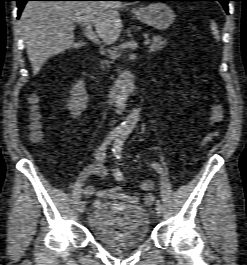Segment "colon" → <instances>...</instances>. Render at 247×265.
<instances>
[{"mask_svg":"<svg viewBox=\"0 0 247 265\" xmlns=\"http://www.w3.org/2000/svg\"><path fill=\"white\" fill-rule=\"evenodd\" d=\"M38 99L37 97L31 98V139L34 142H39L42 139L41 132V123H40V113L37 105ZM211 120L213 124H220L223 121V111L220 105L213 103L211 109ZM218 137V132H211L204 140L203 145H208L212 143ZM112 175L117 181H122L124 179V175L122 171L118 168L112 169Z\"/></svg>","mask_w":247,"mask_h":265,"instance_id":"1","label":"colon"}]
</instances>
